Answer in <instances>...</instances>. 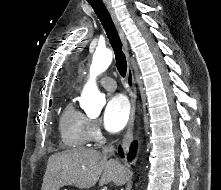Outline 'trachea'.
I'll return each mask as SVG.
<instances>
[{"label":"trachea","instance_id":"1","mask_svg":"<svg viewBox=\"0 0 221 190\" xmlns=\"http://www.w3.org/2000/svg\"><path fill=\"white\" fill-rule=\"evenodd\" d=\"M89 4L94 9L97 17L100 19L103 28L115 53L117 70L122 77H125L127 71V61L122 50V42L114 25V22L102 1L91 2Z\"/></svg>","mask_w":221,"mask_h":190}]
</instances>
